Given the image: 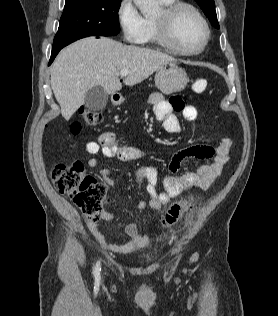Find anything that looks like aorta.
<instances>
[{
    "label": "aorta",
    "instance_id": "aorta-1",
    "mask_svg": "<svg viewBox=\"0 0 278 316\" xmlns=\"http://www.w3.org/2000/svg\"><path fill=\"white\" fill-rule=\"evenodd\" d=\"M144 16H152L158 13L159 5L157 0H133Z\"/></svg>",
    "mask_w": 278,
    "mask_h": 316
}]
</instances>
